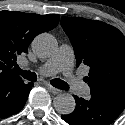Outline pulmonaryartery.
<instances>
[{
  "instance_id": "e3ab8cb5",
  "label": "pulmonary artery",
  "mask_w": 125,
  "mask_h": 125,
  "mask_svg": "<svg viewBox=\"0 0 125 125\" xmlns=\"http://www.w3.org/2000/svg\"><path fill=\"white\" fill-rule=\"evenodd\" d=\"M74 51L71 45L62 44L57 52L38 67V72L44 76H51L63 72L69 86L78 96H86L89 89L73 74Z\"/></svg>"
}]
</instances>
